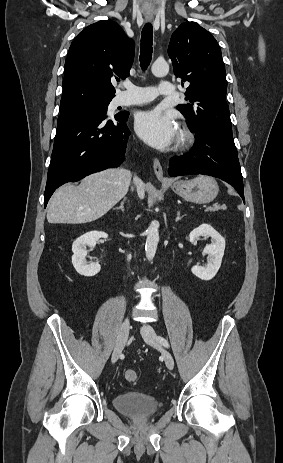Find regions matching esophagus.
<instances>
[{
    "instance_id": "obj_1",
    "label": "esophagus",
    "mask_w": 283,
    "mask_h": 463,
    "mask_svg": "<svg viewBox=\"0 0 283 463\" xmlns=\"http://www.w3.org/2000/svg\"><path fill=\"white\" fill-rule=\"evenodd\" d=\"M146 19H147L148 21H150V20L152 19V16H148ZM153 169H154V173H155L156 177H157L160 181H162V182H169V181H170L169 178H167V177L164 176V172H163L162 166H161V164H160V162H159L158 159H154V161H153Z\"/></svg>"
}]
</instances>
